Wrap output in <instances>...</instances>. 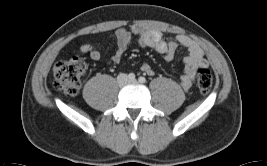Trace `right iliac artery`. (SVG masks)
<instances>
[{"label": "right iliac artery", "instance_id": "1", "mask_svg": "<svg viewBox=\"0 0 267 166\" xmlns=\"http://www.w3.org/2000/svg\"><path fill=\"white\" fill-rule=\"evenodd\" d=\"M128 78H129L130 80L135 79V74H134V73H130V74L128 75Z\"/></svg>", "mask_w": 267, "mask_h": 166}]
</instances>
